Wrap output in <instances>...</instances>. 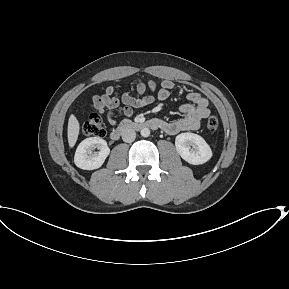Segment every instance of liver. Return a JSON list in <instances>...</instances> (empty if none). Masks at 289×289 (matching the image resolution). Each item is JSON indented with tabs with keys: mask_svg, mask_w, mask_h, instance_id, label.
Here are the masks:
<instances>
[{
	"mask_svg": "<svg viewBox=\"0 0 289 289\" xmlns=\"http://www.w3.org/2000/svg\"><path fill=\"white\" fill-rule=\"evenodd\" d=\"M79 130L80 125L77 118L73 114L70 115L68 120L67 134H68V143L71 148L75 145L78 139Z\"/></svg>",
	"mask_w": 289,
	"mask_h": 289,
	"instance_id": "obj_1",
	"label": "liver"
}]
</instances>
